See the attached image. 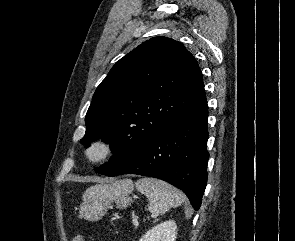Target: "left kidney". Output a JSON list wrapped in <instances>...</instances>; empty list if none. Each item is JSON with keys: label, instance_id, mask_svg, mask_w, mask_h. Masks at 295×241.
<instances>
[{"label": "left kidney", "instance_id": "left-kidney-1", "mask_svg": "<svg viewBox=\"0 0 295 241\" xmlns=\"http://www.w3.org/2000/svg\"><path fill=\"white\" fill-rule=\"evenodd\" d=\"M176 230L175 221L169 220L149 230L139 241H175Z\"/></svg>", "mask_w": 295, "mask_h": 241}]
</instances>
